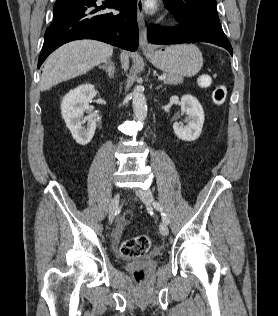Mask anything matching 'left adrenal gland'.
Here are the masks:
<instances>
[{
	"mask_svg": "<svg viewBox=\"0 0 278 316\" xmlns=\"http://www.w3.org/2000/svg\"><path fill=\"white\" fill-rule=\"evenodd\" d=\"M162 86L160 85V86H158L156 89L158 90V89H160Z\"/></svg>",
	"mask_w": 278,
	"mask_h": 316,
	"instance_id": "obj_1",
	"label": "left adrenal gland"
}]
</instances>
